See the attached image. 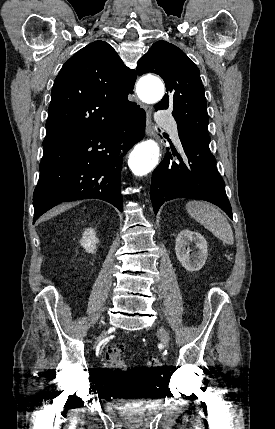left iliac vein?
Wrapping results in <instances>:
<instances>
[{"instance_id":"left-iliac-vein-1","label":"left iliac vein","mask_w":275,"mask_h":429,"mask_svg":"<svg viewBox=\"0 0 275 429\" xmlns=\"http://www.w3.org/2000/svg\"><path fill=\"white\" fill-rule=\"evenodd\" d=\"M158 335L160 337V340L164 343L167 344L170 341V336L169 333L163 328L160 327L158 329Z\"/></svg>"}]
</instances>
